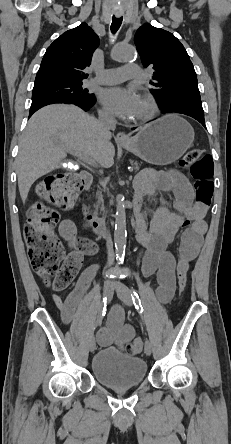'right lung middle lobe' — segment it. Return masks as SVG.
Returning a JSON list of instances; mask_svg holds the SVG:
<instances>
[{
    "instance_id": "1",
    "label": "right lung middle lobe",
    "mask_w": 231,
    "mask_h": 444,
    "mask_svg": "<svg viewBox=\"0 0 231 444\" xmlns=\"http://www.w3.org/2000/svg\"><path fill=\"white\" fill-rule=\"evenodd\" d=\"M73 101L79 103H91L94 95L82 88V83H55L33 88L32 104L47 101Z\"/></svg>"
}]
</instances>
